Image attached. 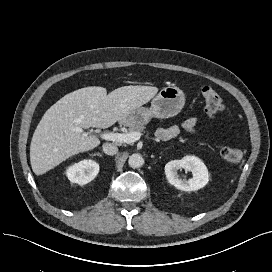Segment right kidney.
Wrapping results in <instances>:
<instances>
[{"label": "right kidney", "instance_id": "1", "mask_svg": "<svg viewBox=\"0 0 272 272\" xmlns=\"http://www.w3.org/2000/svg\"><path fill=\"white\" fill-rule=\"evenodd\" d=\"M99 172V164L93 160H83L70 166L66 175L72 183L85 185L92 181Z\"/></svg>", "mask_w": 272, "mask_h": 272}]
</instances>
